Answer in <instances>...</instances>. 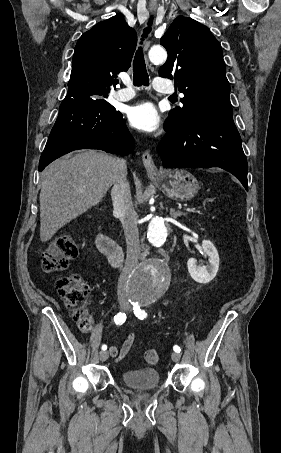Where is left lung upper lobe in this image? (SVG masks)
<instances>
[{
    "label": "left lung upper lobe",
    "instance_id": "5c2ea615",
    "mask_svg": "<svg viewBox=\"0 0 281 453\" xmlns=\"http://www.w3.org/2000/svg\"><path fill=\"white\" fill-rule=\"evenodd\" d=\"M160 43L166 48L168 59L159 75L174 79L184 94L180 99L183 106L170 111L165 130L196 116L232 112L221 45L208 27L181 15Z\"/></svg>",
    "mask_w": 281,
    "mask_h": 453
}]
</instances>
